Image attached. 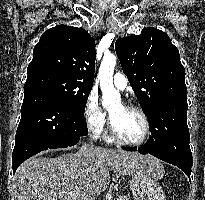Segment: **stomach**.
Listing matches in <instances>:
<instances>
[{
	"label": "stomach",
	"instance_id": "0dacf381",
	"mask_svg": "<svg viewBox=\"0 0 205 200\" xmlns=\"http://www.w3.org/2000/svg\"><path fill=\"white\" fill-rule=\"evenodd\" d=\"M156 173L162 172L160 164L153 166ZM153 173L138 172L131 175L130 189L133 200H166V196Z\"/></svg>",
	"mask_w": 205,
	"mask_h": 200
}]
</instances>
